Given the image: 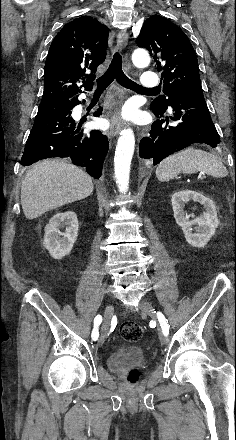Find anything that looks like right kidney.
I'll list each match as a JSON object with an SVG mask.
<instances>
[{"label":"right kidney","mask_w":236,"mask_h":440,"mask_svg":"<svg viewBox=\"0 0 236 440\" xmlns=\"http://www.w3.org/2000/svg\"><path fill=\"white\" fill-rule=\"evenodd\" d=\"M78 219L73 211L55 214L45 227L43 245L55 259L68 255L78 236ZM65 230L62 232L60 229Z\"/></svg>","instance_id":"1"}]
</instances>
